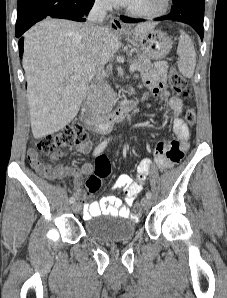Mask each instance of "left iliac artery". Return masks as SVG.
I'll return each mask as SVG.
<instances>
[{"mask_svg": "<svg viewBox=\"0 0 227 298\" xmlns=\"http://www.w3.org/2000/svg\"><path fill=\"white\" fill-rule=\"evenodd\" d=\"M146 197L151 198V197H152V193H151L150 191H147V192H146Z\"/></svg>", "mask_w": 227, "mask_h": 298, "instance_id": "obj_1", "label": "left iliac artery"}]
</instances>
